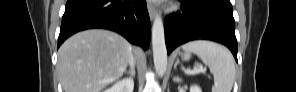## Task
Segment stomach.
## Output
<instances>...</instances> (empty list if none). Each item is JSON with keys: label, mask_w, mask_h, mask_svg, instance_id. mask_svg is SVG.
Wrapping results in <instances>:
<instances>
[{"label": "stomach", "mask_w": 296, "mask_h": 92, "mask_svg": "<svg viewBox=\"0 0 296 92\" xmlns=\"http://www.w3.org/2000/svg\"><path fill=\"white\" fill-rule=\"evenodd\" d=\"M179 55L181 56V58L184 60V61H188L191 57V54L189 52H183V53H179Z\"/></svg>", "instance_id": "1"}]
</instances>
